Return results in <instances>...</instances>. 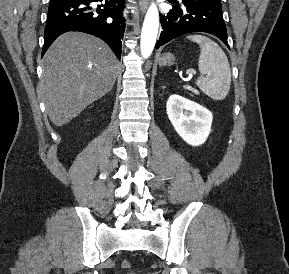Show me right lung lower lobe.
<instances>
[{
  "instance_id": "98d812e1",
  "label": "right lung lower lobe",
  "mask_w": 289,
  "mask_h": 274,
  "mask_svg": "<svg viewBox=\"0 0 289 274\" xmlns=\"http://www.w3.org/2000/svg\"><path fill=\"white\" fill-rule=\"evenodd\" d=\"M100 2L98 7L91 5ZM125 0H50L42 56L51 43L67 31H80L104 40L120 59Z\"/></svg>"
}]
</instances>
